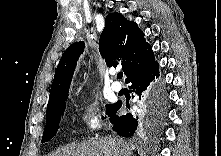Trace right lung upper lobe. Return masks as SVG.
<instances>
[{"instance_id":"obj_1","label":"right lung upper lobe","mask_w":221,"mask_h":156,"mask_svg":"<svg viewBox=\"0 0 221 156\" xmlns=\"http://www.w3.org/2000/svg\"><path fill=\"white\" fill-rule=\"evenodd\" d=\"M145 34L135 22L126 20L120 13H110L100 36L99 51L109 66L123 59L122 69L126 79L154 62V53ZM84 42L73 43L62 55L52 82L48 106L68 94L77 60L84 49Z\"/></svg>"}]
</instances>
